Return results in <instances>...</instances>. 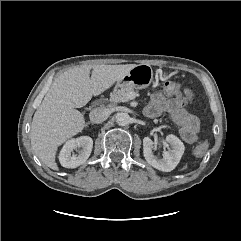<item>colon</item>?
Returning <instances> with one entry per match:
<instances>
[{
    "label": "colon",
    "mask_w": 241,
    "mask_h": 241,
    "mask_svg": "<svg viewBox=\"0 0 241 241\" xmlns=\"http://www.w3.org/2000/svg\"><path fill=\"white\" fill-rule=\"evenodd\" d=\"M163 93L168 97H182V92L180 86L175 82H166L163 87ZM207 152V145L205 143H201L196 146L194 153L197 157H202Z\"/></svg>",
    "instance_id": "colon-1"
}]
</instances>
